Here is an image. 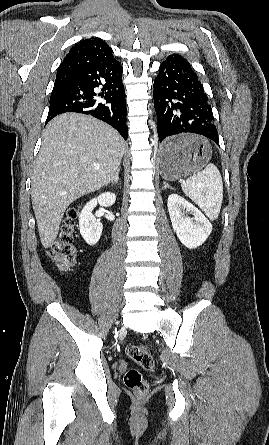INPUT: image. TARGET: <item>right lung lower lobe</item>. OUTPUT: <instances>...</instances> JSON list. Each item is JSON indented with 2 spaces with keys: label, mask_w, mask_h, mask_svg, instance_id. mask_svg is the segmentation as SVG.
<instances>
[{
  "label": "right lung lower lobe",
  "mask_w": 269,
  "mask_h": 445,
  "mask_svg": "<svg viewBox=\"0 0 269 445\" xmlns=\"http://www.w3.org/2000/svg\"><path fill=\"white\" fill-rule=\"evenodd\" d=\"M97 87H101V93L94 91ZM58 88H62V95L50 102L46 123L65 112L88 114L108 123L127 139L122 67L114 57L82 70Z\"/></svg>",
  "instance_id": "right-lung-lower-lobe-1"
}]
</instances>
